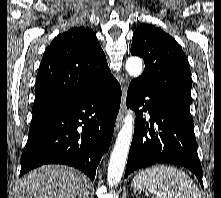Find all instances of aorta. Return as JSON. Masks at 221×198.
I'll return each mask as SVG.
<instances>
[{
	"label": "aorta",
	"instance_id": "762f6f07",
	"mask_svg": "<svg viewBox=\"0 0 221 198\" xmlns=\"http://www.w3.org/2000/svg\"><path fill=\"white\" fill-rule=\"evenodd\" d=\"M125 68L130 76L138 77L143 71L142 60L139 57H129L126 61ZM133 123V112L128 111L123 120L122 128L117 135V139L110 156L107 174V181L110 187L117 185L123 175L133 136Z\"/></svg>",
	"mask_w": 221,
	"mask_h": 198
}]
</instances>
